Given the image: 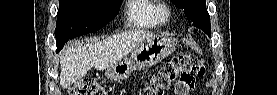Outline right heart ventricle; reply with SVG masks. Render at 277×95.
Returning <instances> with one entry per match:
<instances>
[{
  "instance_id": "right-heart-ventricle-1",
  "label": "right heart ventricle",
  "mask_w": 277,
  "mask_h": 95,
  "mask_svg": "<svg viewBox=\"0 0 277 95\" xmlns=\"http://www.w3.org/2000/svg\"><path fill=\"white\" fill-rule=\"evenodd\" d=\"M155 0H128L126 12L127 23L130 28L146 29L156 26L151 16Z\"/></svg>"
}]
</instances>
